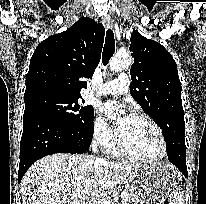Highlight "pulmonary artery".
<instances>
[{"label":"pulmonary artery","instance_id":"e3ab8cb5","mask_svg":"<svg viewBox=\"0 0 206 204\" xmlns=\"http://www.w3.org/2000/svg\"><path fill=\"white\" fill-rule=\"evenodd\" d=\"M130 80L127 74L122 73L115 80L108 81L96 90L98 95L123 94L129 89Z\"/></svg>","mask_w":206,"mask_h":204}]
</instances>
